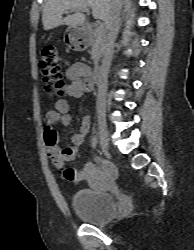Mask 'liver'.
Wrapping results in <instances>:
<instances>
[{"label":"liver","mask_w":194,"mask_h":250,"mask_svg":"<svg viewBox=\"0 0 194 250\" xmlns=\"http://www.w3.org/2000/svg\"><path fill=\"white\" fill-rule=\"evenodd\" d=\"M114 0H47L42 14L44 30L54 29L61 25L75 26L83 24L82 13L62 17L68 10H82L91 7L93 17L104 21L107 25Z\"/></svg>","instance_id":"obj_1"}]
</instances>
